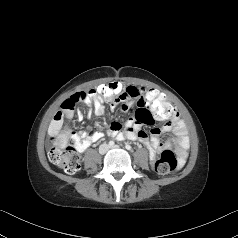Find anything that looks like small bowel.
Masks as SVG:
<instances>
[{
    "mask_svg": "<svg viewBox=\"0 0 238 238\" xmlns=\"http://www.w3.org/2000/svg\"><path fill=\"white\" fill-rule=\"evenodd\" d=\"M147 91L135 86H128L122 90L118 95L119 103H122V110L129 111L134 102L137 104V110L133 118L128 120L124 126L118 122H112L108 127V135L112 138L121 141L124 139L139 140L145 144L149 150L150 159L153 161L156 156L162 151L174 145L176 147L179 161L182 163L186 157L187 149L189 147V138L187 136V129L184 123L175 114L170 119L165 120L161 128H157L158 119L153 112L148 110L150 100L146 96ZM96 94V90H91L86 98L83 100L84 104L93 106V113L95 116H102L104 114V103L101 102L100 96ZM114 108L118 103H109ZM74 115L73 108L65 109L58 112L49 127L51 135L57 137L58 144L63 146L69 136H72L75 141V147L79 152L87 150L94 142L103 137V132L96 130H81L77 134L62 130L65 118H72ZM77 118L81 120L83 114L81 111L77 112ZM145 124L146 127L152 128L150 132H146L141 128ZM172 131L176 138L170 142H162L160 135L164 132Z\"/></svg>",
    "mask_w": 238,
    "mask_h": 238,
    "instance_id": "c3829d8e",
    "label": "small bowel"
}]
</instances>
